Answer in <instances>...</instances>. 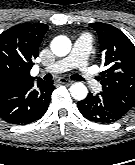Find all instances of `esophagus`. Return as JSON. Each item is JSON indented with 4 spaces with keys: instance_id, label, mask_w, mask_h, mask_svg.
<instances>
[{
    "instance_id": "34e87169",
    "label": "esophagus",
    "mask_w": 135,
    "mask_h": 165,
    "mask_svg": "<svg viewBox=\"0 0 135 165\" xmlns=\"http://www.w3.org/2000/svg\"><path fill=\"white\" fill-rule=\"evenodd\" d=\"M59 83L64 84V85H71L73 83L72 80H69L67 78H59L58 79Z\"/></svg>"
}]
</instances>
